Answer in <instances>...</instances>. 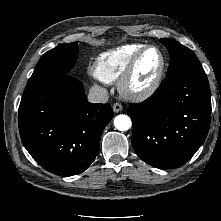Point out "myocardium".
<instances>
[{
	"label": "myocardium",
	"mask_w": 221,
	"mask_h": 221,
	"mask_svg": "<svg viewBox=\"0 0 221 221\" xmlns=\"http://www.w3.org/2000/svg\"><path fill=\"white\" fill-rule=\"evenodd\" d=\"M150 49H155L160 56V64L157 72L151 81L143 87L133 85V78L137 70V66L145 54ZM166 59L163 51L156 45H145L132 58L128 67L121 75L118 81V90L120 94L130 100L142 101L153 95L159 88L165 71Z\"/></svg>",
	"instance_id": "myocardium-1"
}]
</instances>
